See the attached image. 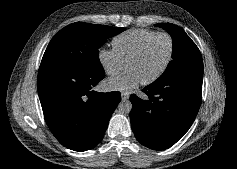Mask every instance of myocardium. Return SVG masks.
I'll return each instance as SVG.
<instances>
[{
  "label": "myocardium",
  "instance_id": "myocardium-1",
  "mask_svg": "<svg viewBox=\"0 0 237 169\" xmlns=\"http://www.w3.org/2000/svg\"><path fill=\"white\" fill-rule=\"evenodd\" d=\"M159 36H164L168 39L169 41V52H168V56L166 61L164 62L163 66L161 67V69L154 74L153 76H151L150 78L140 81L141 84L143 85H148L151 83H154L155 81H157L159 78H161L163 76V74L167 71L172 58H173V54H174V41L173 38L171 37L170 34L166 33V32H158L153 34L152 36L148 37L140 46L139 48L130 55V57L127 59V61L125 62V66L128 68V65L131 61L137 59L138 57L141 56V54L143 53V51L145 50V48L147 47V45L155 38L159 37Z\"/></svg>",
  "mask_w": 237,
  "mask_h": 169
}]
</instances>
